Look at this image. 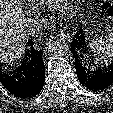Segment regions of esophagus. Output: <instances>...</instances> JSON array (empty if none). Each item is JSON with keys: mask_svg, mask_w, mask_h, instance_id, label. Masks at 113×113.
I'll list each match as a JSON object with an SVG mask.
<instances>
[{"mask_svg": "<svg viewBox=\"0 0 113 113\" xmlns=\"http://www.w3.org/2000/svg\"><path fill=\"white\" fill-rule=\"evenodd\" d=\"M59 36L62 40L66 41L67 43L71 42L72 36L68 32H64L63 30L59 32Z\"/></svg>", "mask_w": 113, "mask_h": 113, "instance_id": "1", "label": "esophagus"}]
</instances>
